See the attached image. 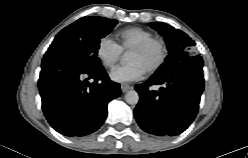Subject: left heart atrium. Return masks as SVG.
Listing matches in <instances>:
<instances>
[{
    "label": "left heart atrium",
    "instance_id": "39dd6f15",
    "mask_svg": "<svg viewBox=\"0 0 248 158\" xmlns=\"http://www.w3.org/2000/svg\"><path fill=\"white\" fill-rule=\"evenodd\" d=\"M146 73V69L138 62H129L126 65L114 69L110 77L119 83H128L140 80Z\"/></svg>",
    "mask_w": 248,
    "mask_h": 158
}]
</instances>
